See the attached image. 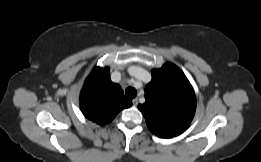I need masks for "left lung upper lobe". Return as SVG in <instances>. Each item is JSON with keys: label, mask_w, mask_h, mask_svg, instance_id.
<instances>
[{"label": "left lung upper lobe", "mask_w": 261, "mask_h": 162, "mask_svg": "<svg viewBox=\"0 0 261 162\" xmlns=\"http://www.w3.org/2000/svg\"><path fill=\"white\" fill-rule=\"evenodd\" d=\"M145 99L138 109L143 113L149 130L158 137L180 135L194 117V90L184 73L172 63L152 70V81L146 85Z\"/></svg>", "instance_id": "obj_1"}]
</instances>
